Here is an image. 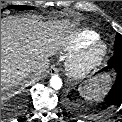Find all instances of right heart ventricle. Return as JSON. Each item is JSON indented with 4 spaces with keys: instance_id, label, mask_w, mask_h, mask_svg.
<instances>
[{
    "instance_id": "e07e8e85",
    "label": "right heart ventricle",
    "mask_w": 122,
    "mask_h": 122,
    "mask_svg": "<svg viewBox=\"0 0 122 122\" xmlns=\"http://www.w3.org/2000/svg\"><path fill=\"white\" fill-rule=\"evenodd\" d=\"M99 39L100 35L96 31L84 28L68 35L63 42V47L65 51L76 52Z\"/></svg>"
}]
</instances>
